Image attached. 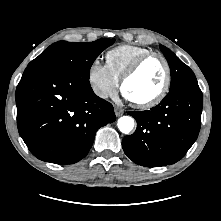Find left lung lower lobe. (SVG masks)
Instances as JSON below:
<instances>
[{
	"label": "left lung lower lobe",
	"instance_id": "0a47b994",
	"mask_svg": "<svg viewBox=\"0 0 221 221\" xmlns=\"http://www.w3.org/2000/svg\"><path fill=\"white\" fill-rule=\"evenodd\" d=\"M203 96L197 82L169 91L151 110L130 111L136 131L122 140L125 154L146 167L179 161L195 142L200 126Z\"/></svg>",
	"mask_w": 221,
	"mask_h": 221
}]
</instances>
